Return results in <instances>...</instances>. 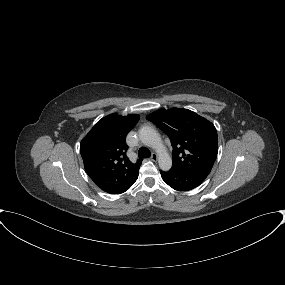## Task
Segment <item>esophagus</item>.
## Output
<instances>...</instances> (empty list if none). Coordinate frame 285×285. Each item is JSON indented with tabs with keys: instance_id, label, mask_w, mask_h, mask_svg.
I'll return each instance as SVG.
<instances>
[{
	"instance_id": "obj_1",
	"label": "esophagus",
	"mask_w": 285,
	"mask_h": 285,
	"mask_svg": "<svg viewBox=\"0 0 285 285\" xmlns=\"http://www.w3.org/2000/svg\"><path fill=\"white\" fill-rule=\"evenodd\" d=\"M150 159H151L152 161H156V160L158 159V157H157L156 154H152L151 157H150Z\"/></svg>"
}]
</instances>
